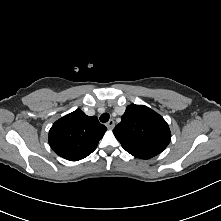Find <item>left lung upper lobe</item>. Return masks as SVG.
<instances>
[{
	"label": "left lung upper lobe",
	"mask_w": 221,
	"mask_h": 221,
	"mask_svg": "<svg viewBox=\"0 0 221 221\" xmlns=\"http://www.w3.org/2000/svg\"><path fill=\"white\" fill-rule=\"evenodd\" d=\"M113 133L128 153L141 159L158 155L171 140L163 117L144 105H129Z\"/></svg>",
	"instance_id": "5c2ea615"
}]
</instances>
